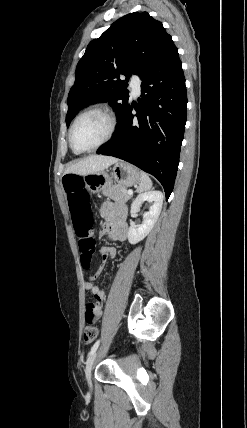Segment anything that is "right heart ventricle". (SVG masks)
<instances>
[{"label": "right heart ventricle", "instance_id": "e07e8e85", "mask_svg": "<svg viewBox=\"0 0 247 428\" xmlns=\"http://www.w3.org/2000/svg\"><path fill=\"white\" fill-rule=\"evenodd\" d=\"M73 151H74V153H75V154H79V153H80V152H77V151H75V150H73Z\"/></svg>", "mask_w": 247, "mask_h": 428}]
</instances>
